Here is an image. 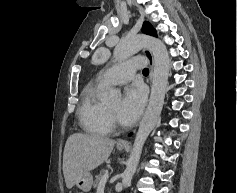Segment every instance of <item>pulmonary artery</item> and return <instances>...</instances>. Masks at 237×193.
Returning <instances> with one entry per match:
<instances>
[{
  "label": "pulmonary artery",
  "mask_w": 237,
  "mask_h": 193,
  "mask_svg": "<svg viewBox=\"0 0 237 193\" xmlns=\"http://www.w3.org/2000/svg\"><path fill=\"white\" fill-rule=\"evenodd\" d=\"M146 60L143 57H135L124 61L105 71L98 76V81L104 85H120L130 81L136 70L144 67Z\"/></svg>",
  "instance_id": "e3ab8cb5"
}]
</instances>
